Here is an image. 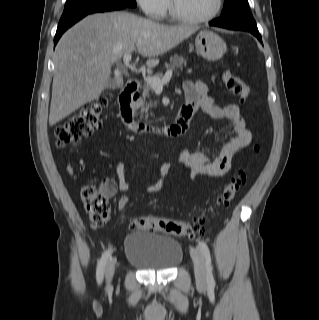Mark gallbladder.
<instances>
[{
	"label": "gallbladder",
	"mask_w": 319,
	"mask_h": 320,
	"mask_svg": "<svg viewBox=\"0 0 319 320\" xmlns=\"http://www.w3.org/2000/svg\"><path fill=\"white\" fill-rule=\"evenodd\" d=\"M123 86V81L119 78L110 79L108 88L109 89H118Z\"/></svg>",
	"instance_id": "bac80fb5"
}]
</instances>
